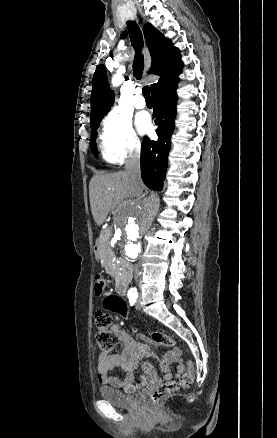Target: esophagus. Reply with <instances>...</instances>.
Listing matches in <instances>:
<instances>
[{"mask_svg": "<svg viewBox=\"0 0 277 438\" xmlns=\"http://www.w3.org/2000/svg\"><path fill=\"white\" fill-rule=\"evenodd\" d=\"M148 50L146 49L145 51H144V55H145V58H148Z\"/></svg>", "mask_w": 277, "mask_h": 438, "instance_id": "obj_1", "label": "esophagus"}]
</instances>
